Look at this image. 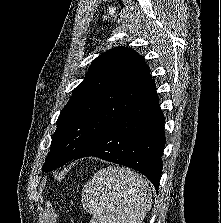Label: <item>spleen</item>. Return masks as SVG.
Here are the masks:
<instances>
[{
  "label": "spleen",
  "mask_w": 221,
  "mask_h": 223,
  "mask_svg": "<svg viewBox=\"0 0 221 223\" xmlns=\"http://www.w3.org/2000/svg\"><path fill=\"white\" fill-rule=\"evenodd\" d=\"M90 223H141L152 206L148 181L135 171L109 166L97 171L82 191Z\"/></svg>",
  "instance_id": "3e777b00"
}]
</instances>
